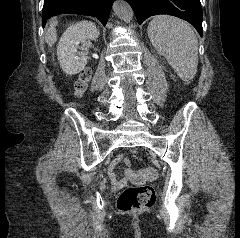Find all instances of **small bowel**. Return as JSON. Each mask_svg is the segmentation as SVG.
<instances>
[{
	"label": "small bowel",
	"mask_w": 240,
	"mask_h": 238,
	"mask_svg": "<svg viewBox=\"0 0 240 238\" xmlns=\"http://www.w3.org/2000/svg\"><path fill=\"white\" fill-rule=\"evenodd\" d=\"M124 163L127 166H130V162L123 154H118L112 164L109 167V177L112 182H107V187H129V182H126L125 179H122L116 172L115 169L117 165Z\"/></svg>",
	"instance_id": "c3829d8e"
}]
</instances>
